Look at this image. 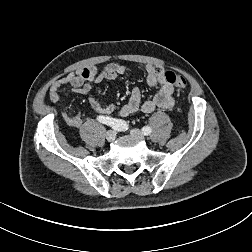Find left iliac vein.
Listing matches in <instances>:
<instances>
[{"mask_svg": "<svg viewBox=\"0 0 252 252\" xmlns=\"http://www.w3.org/2000/svg\"><path fill=\"white\" fill-rule=\"evenodd\" d=\"M130 133H131L132 136H135V137H137L139 139H144V135L139 129H132L130 131Z\"/></svg>", "mask_w": 252, "mask_h": 252, "instance_id": "obj_1", "label": "left iliac vein"}]
</instances>
